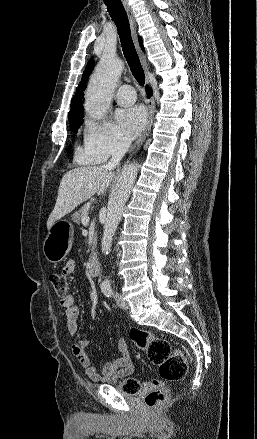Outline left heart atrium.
Returning <instances> with one entry per match:
<instances>
[{"instance_id":"39dd6f15","label":"left heart atrium","mask_w":257,"mask_h":439,"mask_svg":"<svg viewBox=\"0 0 257 439\" xmlns=\"http://www.w3.org/2000/svg\"><path fill=\"white\" fill-rule=\"evenodd\" d=\"M116 119L124 133L128 137H134L144 128L147 121V113L144 107L134 106L118 110Z\"/></svg>"}]
</instances>
